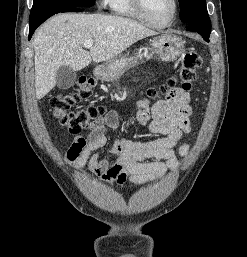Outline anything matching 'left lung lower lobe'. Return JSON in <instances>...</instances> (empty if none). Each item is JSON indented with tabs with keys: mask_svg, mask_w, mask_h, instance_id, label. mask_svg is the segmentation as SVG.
<instances>
[{
	"mask_svg": "<svg viewBox=\"0 0 247 257\" xmlns=\"http://www.w3.org/2000/svg\"><path fill=\"white\" fill-rule=\"evenodd\" d=\"M187 30L199 33L205 41L209 42L211 28H206L199 23H191L187 24Z\"/></svg>",
	"mask_w": 247,
	"mask_h": 257,
	"instance_id": "0a47b994",
	"label": "left lung lower lobe"
}]
</instances>
